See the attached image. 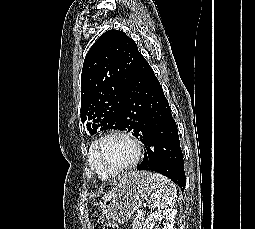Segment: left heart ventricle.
Instances as JSON below:
<instances>
[{
	"label": "left heart ventricle",
	"mask_w": 255,
	"mask_h": 229,
	"mask_svg": "<svg viewBox=\"0 0 255 229\" xmlns=\"http://www.w3.org/2000/svg\"><path fill=\"white\" fill-rule=\"evenodd\" d=\"M133 146L123 137L113 136L105 139L98 147V159L109 168L128 165L134 158Z\"/></svg>",
	"instance_id": "left-heart-ventricle-1"
}]
</instances>
